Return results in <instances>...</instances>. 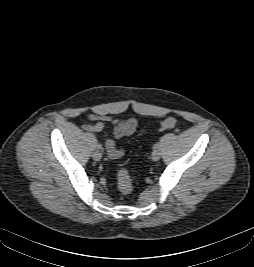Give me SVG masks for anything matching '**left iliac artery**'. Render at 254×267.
<instances>
[{"instance_id": "left-iliac-artery-1", "label": "left iliac artery", "mask_w": 254, "mask_h": 267, "mask_svg": "<svg viewBox=\"0 0 254 267\" xmlns=\"http://www.w3.org/2000/svg\"><path fill=\"white\" fill-rule=\"evenodd\" d=\"M159 148V145L158 144H155L154 146H153V149L154 150H156V149H158Z\"/></svg>"}]
</instances>
